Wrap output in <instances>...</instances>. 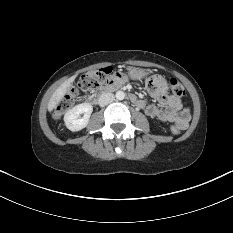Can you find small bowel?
I'll use <instances>...</instances> for the list:
<instances>
[{"mask_svg":"<svg viewBox=\"0 0 233 233\" xmlns=\"http://www.w3.org/2000/svg\"><path fill=\"white\" fill-rule=\"evenodd\" d=\"M111 81L115 85H121L123 82L133 83L135 76L129 74L127 70L116 72ZM150 95L159 103L160 106L147 104L140 100L137 105L144 113L152 118L162 122L175 123L181 130L187 128L190 121V109L182 103L177 97L168 93L167 84L161 76H150L146 80Z\"/></svg>","mask_w":233,"mask_h":233,"instance_id":"obj_1","label":"small bowel"}]
</instances>
